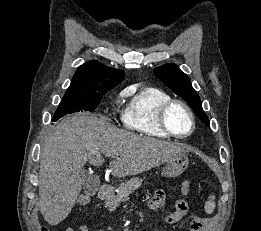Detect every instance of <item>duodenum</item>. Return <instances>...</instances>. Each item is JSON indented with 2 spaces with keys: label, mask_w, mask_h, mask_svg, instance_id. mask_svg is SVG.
I'll return each mask as SVG.
<instances>
[{
  "label": "duodenum",
  "mask_w": 261,
  "mask_h": 231,
  "mask_svg": "<svg viewBox=\"0 0 261 231\" xmlns=\"http://www.w3.org/2000/svg\"><path fill=\"white\" fill-rule=\"evenodd\" d=\"M112 191V187L109 185H102L98 191V198L105 199Z\"/></svg>",
  "instance_id": "410a0bca"
}]
</instances>
